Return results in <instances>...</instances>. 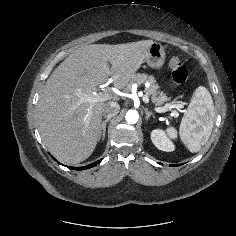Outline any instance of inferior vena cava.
<instances>
[{"instance_id": "inferior-vena-cava-1", "label": "inferior vena cava", "mask_w": 236, "mask_h": 236, "mask_svg": "<svg viewBox=\"0 0 236 236\" xmlns=\"http://www.w3.org/2000/svg\"><path fill=\"white\" fill-rule=\"evenodd\" d=\"M120 111V106L118 103L111 101L105 104L102 109V115L107 119L116 116Z\"/></svg>"}]
</instances>
